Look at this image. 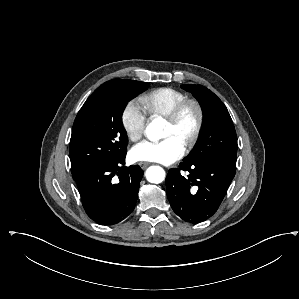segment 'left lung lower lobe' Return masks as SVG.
I'll list each match as a JSON object with an SVG mask.
<instances>
[{
    "mask_svg": "<svg viewBox=\"0 0 299 299\" xmlns=\"http://www.w3.org/2000/svg\"><path fill=\"white\" fill-rule=\"evenodd\" d=\"M181 170L187 171L188 176L184 177ZM234 176L235 166L221 160L183 161L166 177L172 209L188 222L207 220L217 211Z\"/></svg>",
    "mask_w": 299,
    "mask_h": 299,
    "instance_id": "left-lung-lower-lobe-1",
    "label": "left lung lower lobe"
}]
</instances>
